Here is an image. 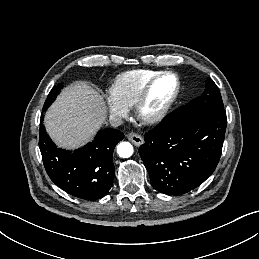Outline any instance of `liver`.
Listing matches in <instances>:
<instances>
[{
	"instance_id": "liver-1",
	"label": "liver",
	"mask_w": 259,
	"mask_h": 259,
	"mask_svg": "<svg viewBox=\"0 0 259 259\" xmlns=\"http://www.w3.org/2000/svg\"><path fill=\"white\" fill-rule=\"evenodd\" d=\"M107 110L103 96L84 81L65 87L45 116L47 132L59 146L78 148L105 123Z\"/></svg>"
}]
</instances>
